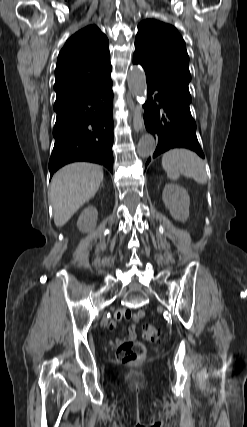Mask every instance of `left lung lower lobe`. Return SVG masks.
<instances>
[{
	"mask_svg": "<svg viewBox=\"0 0 247 427\" xmlns=\"http://www.w3.org/2000/svg\"><path fill=\"white\" fill-rule=\"evenodd\" d=\"M147 85L145 125L148 131L158 136L153 158L172 148L190 149L204 158L189 104L156 83L147 80ZM150 160L151 158L147 160L146 166Z\"/></svg>",
	"mask_w": 247,
	"mask_h": 427,
	"instance_id": "0a47b994",
	"label": "left lung lower lobe"
}]
</instances>
